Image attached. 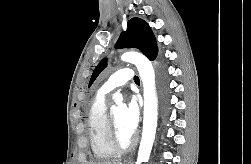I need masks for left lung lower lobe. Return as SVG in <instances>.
Masks as SVG:
<instances>
[{
  "label": "left lung lower lobe",
  "mask_w": 251,
  "mask_h": 164,
  "mask_svg": "<svg viewBox=\"0 0 251 164\" xmlns=\"http://www.w3.org/2000/svg\"><path fill=\"white\" fill-rule=\"evenodd\" d=\"M162 78H163V80L165 81V71H164L163 68H162Z\"/></svg>",
  "instance_id": "0a47b994"
}]
</instances>
